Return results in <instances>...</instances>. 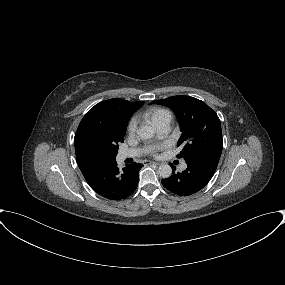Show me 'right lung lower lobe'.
Listing matches in <instances>:
<instances>
[{
    "label": "right lung lower lobe",
    "instance_id": "right-lung-lower-lobe-1",
    "mask_svg": "<svg viewBox=\"0 0 285 285\" xmlns=\"http://www.w3.org/2000/svg\"><path fill=\"white\" fill-rule=\"evenodd\" d=\"M142 164L132 163L120 170L116 161L84 173L91 188L109 200H121L131 195L138 185Z\"/></svg>",
    "mask_w": 285,
    "mask_h": 285
}]
</instances>
